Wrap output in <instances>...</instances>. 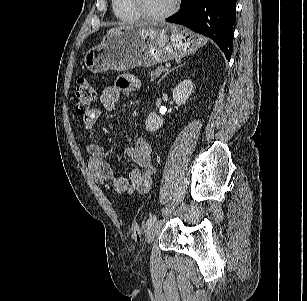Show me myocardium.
Wrapping results in <instances>:
<instances>
[{
  "label": "myocardium",
  "mask_w": 307,
  "mask_h": 301,
  "mask_svg": "<svg viewBox=\"0 0 307 301\" xmlns=\"http://www.w3.org/2000/svg\"><path fill=\"white\" fill-rule=\"evenodd\" d=\"M129 3H130L132 10L135 12V14L139 18L148 20V21L165 20L171 17L172 15H174L178 11L179 6H180V0H173L171 7L167 11L159 13V14H151V13L144 11V9L141 7L140 0H129Z\"/></svg>",
  "instance_id": "obj_1"
}]
</instances>
